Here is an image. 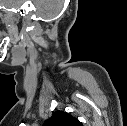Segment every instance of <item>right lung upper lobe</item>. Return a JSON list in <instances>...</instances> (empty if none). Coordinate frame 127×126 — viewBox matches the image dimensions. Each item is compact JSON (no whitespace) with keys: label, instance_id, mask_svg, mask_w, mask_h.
Wrapping results in <instances>:
<instances>
[{"label":"right lung upper lobe","instance_id":"1","mask_svg":"<svg viewBox=\"0 0 127 126\" xmlns=\"http://www.w3.org/2000/svg\"><path fill=\"white\" fill-rule=\"evenodd\" d=\"M43 126H82V123L64 111H55Z\"/></svg>","mask_w":127,"mask_h":126}]
</instances>
